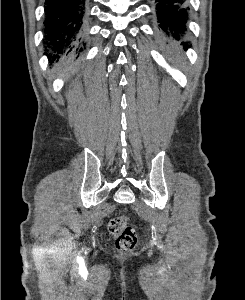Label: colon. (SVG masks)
<instances>
[{"instance_id":"5ec220e1","label":"colon","mask_w":245,"mask_h":300,"mask_svg":"<svg viewBox=\"0 0 245 300\" xmlns=\"http://www.w3.org/2000/svg\"><path fill=\"white\" fill-rule=\"evenodd\" d=\"M126 215H119L112 218L108 229L115 240V246L121 253H131L137 244V232L128 222Z\"/></svg>"}]
</instances>
